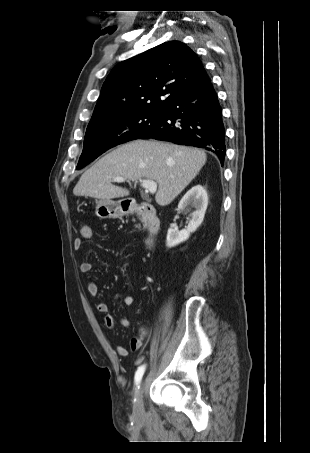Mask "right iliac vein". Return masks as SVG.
Returning <instances> with one entry per match:
<instances>
[{
	"label": "right iliac vein",
	"mask_w": 310,
	"mask_h": 453,
	"mask_svg": "<svg viewBox=\"0 0 310 453\" xmlns=\"http://www.w3.org/2000/svg\"><path fill=\"white\" fill-rule=\"evenodd\" d=\"M133 411L136 417H140L144 412L143 407V384L141 383L135 395Z\"/></svg>",
	"instance_id": "obj_1"
}]
</instances>
